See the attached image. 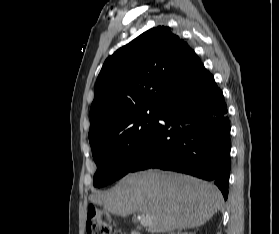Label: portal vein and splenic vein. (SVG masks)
I'll use <instances>...</instances> for the list:
<instances>
[{
  "label": "portal vein and splenic vein",
  "mask_w": 279,
  "mask_h": 234,
  "mask_svg": "<svg viewBox=\"0 0 279 234\" xmlns=\"http://www.w3.org/2000/svg\"><path fill=\"white\" fill-rule=\"evenodd\" d=\"M151 219L149 216L142 214L141 215V225L144 227H148L151 224Z\"/></svg>",
  "instance_id": "obj_1"
}]
</instances>
